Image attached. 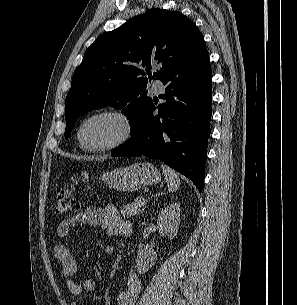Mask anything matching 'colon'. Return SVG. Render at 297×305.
<instances>
[{
  "label": "colon",
  "instance_id": "obj_1",
  "mask_svg": "<svg viewBox=\"0 0 297 305\" xmlns=\"http://www.w3.org/2000/svg\"><path fill=\"white\" fill-rule=\"evenodd\" d=\"M79 208V202L74 194V189L72 186H68L63 189L57 198V203L55 206V213L57 216H66Z\"/></svg>",
  "mask_w": 297,
  "mask_h": 305
}]
</instances>
